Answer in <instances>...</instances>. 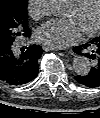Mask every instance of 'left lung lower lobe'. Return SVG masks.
<instances>
[{
  "label": "left lung lower lobe",
  "instance_id": "left-lung-lower-lobe-1",
  "mask_svg": "<svg viewBox=\"0 0 100 118\" xmlns=\"http://www.w3.org/2000/svg\"><path fill=\"white\" fill-rule=\"evenodd\" d=\"M73 51L79 55L84 54L91 61V69L87 75L75 76L76 81L84 86L95 88L100 86V37L92 39Z\"/></svg>",
  "mask_w": 100,
  "mask_h": 118
}]
</instances>
